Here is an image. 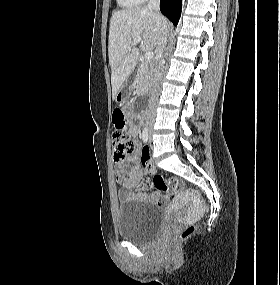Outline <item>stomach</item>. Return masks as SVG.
<instances>
[{
  "mask_svg": "<svg viewBox=\"0 0 280 285\" xmlns=\"http://www.w3.org/2000/svg\"><path fill=\"white\" fill-rule=\"evenodd\" d=\"M133 89V84L132 83H129V82H124L123 85L121 86V88L119 89L116 97H115V100L116 101H123L124 99H126L131 91Z\"/></svg>",
  "mask_w": 280,
  "mask_h": 285,
  "instance_id": "obj_1",
  "label": "stomach"
}]
</instances>
